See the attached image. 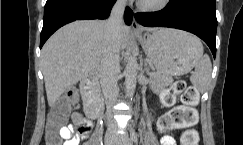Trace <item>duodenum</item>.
I'll return each instance as SVG.
<instances>
[{
    "mask_svg": "<svg viewBox=\"0 0 243 145\" xmlns=\"http://www.w3.org/2000/svg\"><path fill=\"white\" fill-rule=\"evenodd\" d=\"M99 70H92L82 81V95L85 103L86 115L97 119L101 111V98L98 89Z\"/></svg>",
    "mask_w": 243,
    "mask_h": 145,
    "instance_id": "duodenum-1",
    "label": "duodenum"
}]
</instances>
